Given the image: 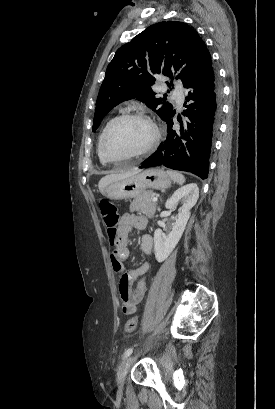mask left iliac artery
Listing matches in <instances>:
<instances>
[{
  "mask_svg": "<svg viewBox=\"0 0 275 409\" xmlns=\"http://www.w3.org/2000/svg\"><path fill=\"white\" fill-rule=\"evenodd\" d=\"M132 352H133V348H128L123 355V360H125L128 356H130Z\"/></svg>",
  "mask_w": 275,
  "mask_h": 409,
  "instance_id": "obj_1",
  "label": "left iliac artery"
}]
</instances>
